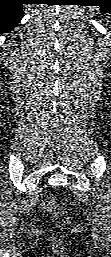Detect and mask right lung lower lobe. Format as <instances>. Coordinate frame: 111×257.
I'll return each instance as SVG.
<instances>
[{"label":"right lung lower lobe","instance_id":"98d812e1","mask_svg":"<svg viewBox=\"0 0 111 257\" xmlns=\"http://www.w3.org/2000/svg\"><path fill=\"white\" fill-rule=\"evenodd\" d=\"M25 0H0V31H11L18 23Z\"/></svg>","mask_w":111,"mask_h":257}]
</instances>
